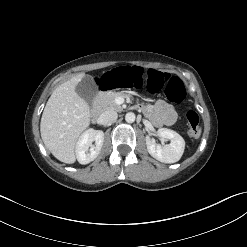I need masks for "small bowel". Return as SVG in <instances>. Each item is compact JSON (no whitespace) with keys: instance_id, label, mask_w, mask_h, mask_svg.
Instances as JSON below:
<instances>
[{"instance_id":"obj_1","label":"small bowel","mask_w":247,"mask_h":247,"mask_svg":"<svg viewBox=\"0 0 247 247\" xmlns=\"http://www.w3.org/2000/svg\"><path fill=\"white\" fill-rule=\"evenodd\" d=\"M146 112L156 126H169L176 120L174 108L163 100H159L153 106L147 107Z\"/></svg>"}]
</instances>
